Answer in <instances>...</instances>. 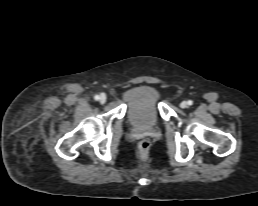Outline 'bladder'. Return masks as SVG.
<instances>
[{
  "label": "bladder",
  "instance_id": "obj_1",
  "mask_svg": "<svg viewBox=\"0 0 258 206\" xmlns=\"http://www.w3.org/2000/svg\"><path fill=\"white\" fill-rule=\"evenodd\" d=\"M126 115L136 128H150L159 120L160 94L150 85L142 84L125 93Z\"/></svg>",
  "mask_w": 258,
  "mask_h": 206
}]
</instances>
